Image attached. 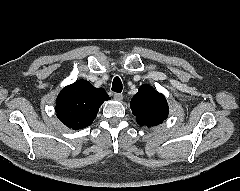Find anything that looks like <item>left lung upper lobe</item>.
Segmentation results:
<instances>
[{
  "instance_id": "left-lung-upper-lobe-1",
  "label": "left lung upper lobe",
  "mask_w": 240,
  "mask_h": 191,
  "mask_svg": "<svg viewBox=\"0 0 240 191\" xmlns=\"http://www.w3.org/2000/svg\"><path fill=\"white\" fill-rule=\"evenodd\" d=\"M130 105L140 126H156L168 117L169 108L164 95L148 84L140 86Z\"/></svg>"
}]
</instances>
